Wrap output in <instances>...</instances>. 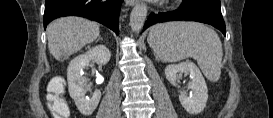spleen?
<instances>
[{
	"instance_id": "spleen-1",
	"label": "spleen",
	"mask_w": 273,
	"mask_h": 118,
	"mask_svg": "<svg viewBox=\"0 0 273 118\" xmlns=\"http://www.w3.org/2000/svg\"><path fill=\"white\" fill-rule=\"evenodd\" d=\"M148 43L163 62L191 57L208 80H219L222 44L217 33L207 26L195 22L157 24L150 29Z\"/></svg>"
}]
</instances>
